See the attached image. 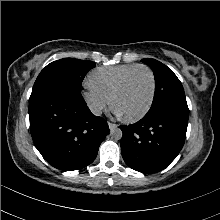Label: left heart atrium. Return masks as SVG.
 Here are the masks:
<instances>
[{"label": "left heart atrium", "mask_w": 220, "mask_h": 220, "mask_svg": "<svg viewBox=\"0 0 220 220\" xmlns=\"http://www.w3.org/2000/svg\"><path fill=\"white\" fill-rule=\"evenodd\" d=\"M114 112H115L116 115L122 116L121 113L117 109H114Z\"/></svg>", "instance_id": "obj_1"}]
</instances>
